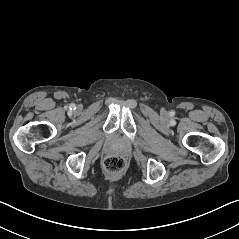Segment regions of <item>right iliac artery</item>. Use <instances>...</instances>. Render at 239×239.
I'll list each match as a JSON object with an SVG mask.
<instances>
[{"instance_id": "82829eb1", "label": "right iliac artery", "mask_w": 239, "mask_h": 239, "mask_svg": "<svg viewBox=\"0 0 239 239\" xmlns=\"http://www.w3.org/2000/svg\"><path fill=\"white\" fill-rule=\"evenodd\" d=\"M74 108V105H71V108L70 109H73ZM75 109V108H74Z\"/></svg>"}]
</instances>
